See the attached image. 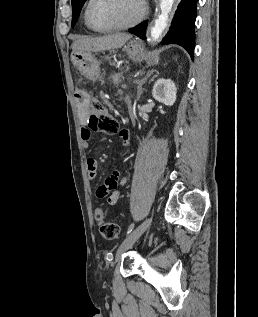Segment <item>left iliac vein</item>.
I'll return each instance as SVG.
<instances>
[{
	"mask_svg": "<svg viewBox=\"0 0 258 317\" xmlns=\"http://www.w3.org/2000/svg\"><path fill=\"white\" fill-rule=\"evenodd\" d=\"M151 216L149 218H146L144 222L140 223L133 231L130 232L128 237L124 239V241L119 245L116 253V258L115 261L119 262L120 261V256L122 255L123 251H127L130 247L134 245L133 241H138L139 236L143 235V232L147 231V228L151 227Z\"/></svg>",
	"mask_w": 258,
	"mask_h": 317,
	"instance_id": "4c4485c4",
	"label": "left iliac vein"
}]
</instances>
